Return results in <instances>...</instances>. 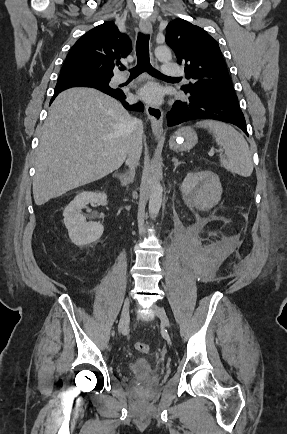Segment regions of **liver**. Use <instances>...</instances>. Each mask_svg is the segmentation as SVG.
I'll return each instance as SVG.
<instances>
[{
	"label": "liver",
	"instance_id": "6515ba94",
	"mask_svg": "<svg viewBox=\"0 0 287 434\" xmlns=\"http://www.w3.org/2000/svg\"><path fill=\"white\" fill-rule=\"evenodd\" d=\"M132 120L119 101L95 89L61 92L40 134L35 204L41 206L120 168L130 148Z\"/></svg>",
	"mask_w": 287,
	"mask_h": 434
}]
</instances>
